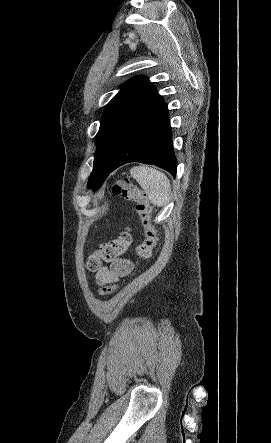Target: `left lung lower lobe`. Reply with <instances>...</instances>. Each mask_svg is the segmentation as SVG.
Segmentation results:
<instances>
[{
    "label": "left lung lower lobe",
    "mask_w": 271,
    "mask_h": 443,
    "mask_svg": "<svg viewBox=\"0 0 271 443\" xmlns=\"http://www.w3.org/2000/svg\"><path fill=\"white\" fill-rule=\"evenodd\" d=\"M130 162L156 165L176 175L168 110L154 87L125 130L110 173Z\"/></svg>",
    "instance_id": "obj_1"
}]
</instances>
